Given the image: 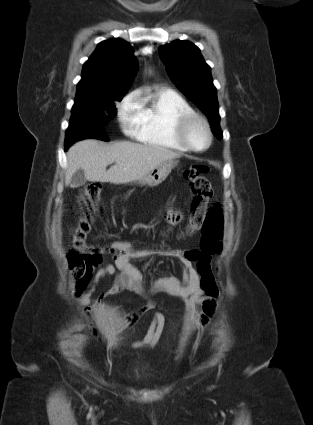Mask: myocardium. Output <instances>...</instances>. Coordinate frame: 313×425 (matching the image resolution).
<instances>
[{
  "instance_id": "myocardium-1",
  "label": "myocardium",
  "mask_w": 313,
  "mask_h": 425,
  "mask_svg": "<svg viewBox=\"0 0 313 425\" xmlns=\"http://www.w3.org/2000/svg\"><path fill=\"white\" fill-rule=\"evenodd\" d=\"M195 123H201L207 133L208 142L203 148H196L188 139V131ZM175 135L177 140L185 148L193 152H203L207 150L211 146L213 140V134L209 122L202 115L195 112L183 114L178 117L175 126Z\"/></svg>"
}]
</instances>
